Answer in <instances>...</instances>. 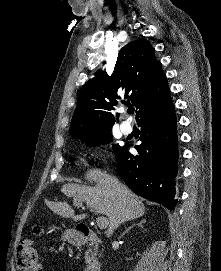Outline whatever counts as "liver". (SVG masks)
<instances>
[{
	"label": "liver",
	"instance_id": "liver-1",
	"mask_svg": "<svg viewBox=\"0 0 221 271\" xmlns=\"http://www.w3.org/2000/svg\"><path fill=\"white\" fill-rule=\"evenodd\" d=\"M86 175L88 179L96 181L95 187L65 183L62 191L66 195H76L79 205H82V201H86L88 207H94L99 213L108 215L107 237H111L114 229H117L120 223L137 219L146 213V207L140 201V197L133 193L127 185L121 183L118 177H114L102 169H89ZM46 203L52 211L62 217H72L73 221H80L86 217V213L75 215L74 209L67 201H46Z\"/></svg>",
	"mask_w": 221,
	"mask_h": 271
}]
</instances>
